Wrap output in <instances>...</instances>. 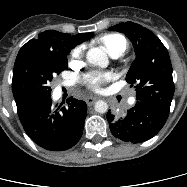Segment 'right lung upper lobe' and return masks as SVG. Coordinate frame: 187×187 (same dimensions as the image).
<instances>
[{
	"label": "right lung upper lobe",
	"instance_id": "1",
	"mask_svg": "<svg viewBox=\"0 0 187 187\" xmlns=\"http://www.w3.org/2000/svg\"><path fill=\"white\" fill-rule=\"evenodd\" d=\"M93 33H81L69 35L54 30H47L38 35L37 38L28 41L20 50L40 49L43 51L67 52L76 45L88 40Z\"/></svg>",
	"mask_w": 187,
	"mask_h": 187
}]
</instances>
